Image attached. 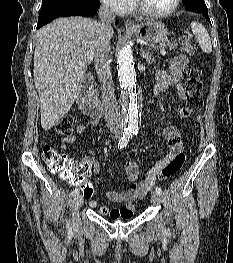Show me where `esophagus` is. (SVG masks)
Instances as JSON below:
<instances>
[{
	"label": "esophagus",
	"instance_id": "34e87169",
	"mask_svg": "<svg viewBox=\"0 0 233 263\" xmlns=\"http://www.w3.org/2000/svg\"><path fill=\"white\" fill-rule=\"evenodd\" d=\"M125 26H126V28H134V27H135V24H134V22L131 21V20H126V21H125Z\"/></svg>",
	"mask_w": 233,
	"mask_h": 263
}]
</instances>
